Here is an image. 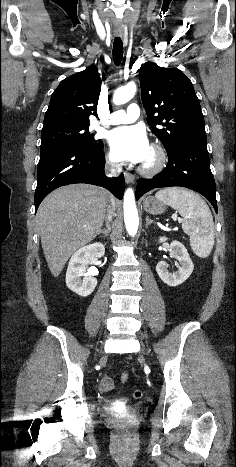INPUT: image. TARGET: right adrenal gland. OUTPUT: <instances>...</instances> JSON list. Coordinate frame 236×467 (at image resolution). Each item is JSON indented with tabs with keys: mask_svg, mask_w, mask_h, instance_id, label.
<instances>
[{
	"mask_svg": "<svg viewBox=\"0 0 236 467\" xmlns=\"http://www.w3.org/2000/svg\"><path fill=\"white\" fill-rule=\"evenodd\" d=\"M110 233V225L108 222H106V228L105 229H102L100 230V232L98 233V235H103L104 238H106Z\"/></svg>",
	"mask_w": 236,
	"mask_h": 467,
	"instance_id": "right-adrenal-gland-1",
	"label": "right adrenal gland"
}]
</instances>
